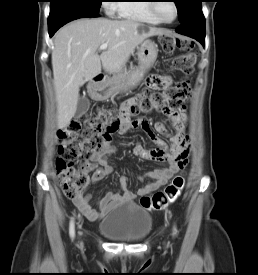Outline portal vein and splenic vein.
I'll list each match as a JSON object with an SVG mask.
<instances>
[{
  "label": "portal vein and splenic vein",
  "instance_id": "obj_1",
  "mask_svg": "<svg viewBox=\"0 0 258 275\" xmlns=\"http://www.w3.org/2000/svg\"><path fill=\"white\" fill-rule=\"evenodd\" d=\"M107 47H108V45L107 44H102L100 47H99V50H106L107 49Z\"/></svg>",
  "mask_w": 258,
  "mask_h": 275
}]
</instances>
